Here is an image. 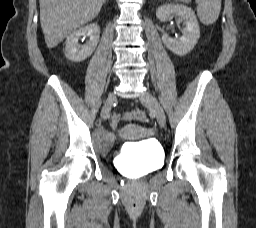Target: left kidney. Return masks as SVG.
<instances>
[{"label": "left kidney", "instance_id": "5707ae66", "mask_svg": "<svg viewBox=\"0 0 256 228\" xmlns=\"http://www.w3.org/2000/svg\"><path fill=\"white\" fill-rule=\"evenodd\" d=\"M172 16H178L184 22L183 36L173 39L168 34H163L164 45L173 53L183 56L188 54L196 45L200 37V29L194 11L181 4H167L158 7L156 17L165 22Z\"/></svg>", "mask_w": 256, "mask_h": 228}]
</instances>
